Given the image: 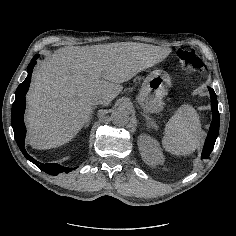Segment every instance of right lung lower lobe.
Here are the masks:
<instances>
[{
    "mask_svg": "<svg viewBox=\"0 0 236 236\" xmlns=\"http://www.w3.org/2000/svg\"><path fill=\"white\" fill-rule=\"evenodd\" d=\"M38 56L39 55H36L32 58L27 68L28 76L26 77L24 82H22L18 86L16 90L15 101L12 105V112H11V124L13 127L15 140L17 142L19 149L23 153V155L32 163L37 165L42 171L50 175H58L61 172L68 173L76 168H69L62 165H58L56 163H46V164L40 163L37 160H35L33 157H31L25 149L24 141H25V135H26V128L23 121V115H24V110H25V105H26L25 95L28 91L30 81H31V73L33 71V68H34V65L36 63V59L38 58Z\"/></svg>",
    "mask_w": 236,
    "mask_h": 236,
    "instance_id": "1",
    "label": "right lung lower lobe"
}]
</instances>
